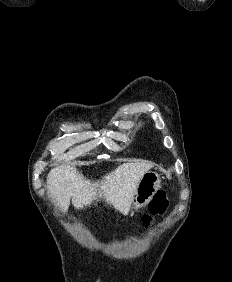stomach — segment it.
<instances>
[{"label":"stomach","instance_id":"stomach-1","mask_svg":"<svg viewBox=\"0 0 232 282\" xmlns=\"http://www.w3.org/2000/svg\"><path fill=\"white\" fill-rule=\"evenodd\" d=\"M160 187L161 179L158 173L154 171L144 173L139 180L132 208L138 210L146 206Z\"/></svg>","mask_w":232,"mask_h":282}]
</instances>
